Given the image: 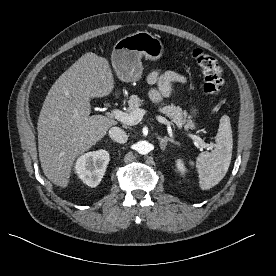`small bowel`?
I'll return each instance as SVG.
<instances>
[{"label": "small bowel", "mask_w": 276, "mask_h": 276, "mask_svg": "<svg viewBox=\"0 0 276 276\" xmlns=\"http://www.w3.org/2000/svg\"><path fill=\"white\" fill-rule=\"evenodd\" d=\"M148 82L153 86L150 92L151 99L159 104L170 95L174 84L185 83L186 79L174 71L160 72L155 70L149 74Z\"/></svg>", "instance_id": "obj_1"}]
</instances>
